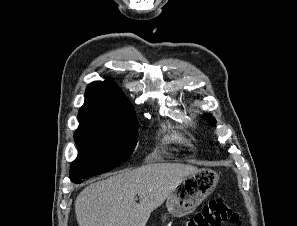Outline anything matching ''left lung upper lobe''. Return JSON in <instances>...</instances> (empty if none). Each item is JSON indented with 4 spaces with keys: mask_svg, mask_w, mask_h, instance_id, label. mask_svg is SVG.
Returning a JSON list of instances; mask_svg holds the SVG:
<instances>
[{
    "mask_svg": "<svg viewBox=\"0 0 297 226\" xmlns=\"http://www.w3.org/2000/svg\"><path fill=\"white\" fill-rule=\"evenodd\" d=\"M205 116H206V119H207V121L210 123V124H215V119L211 116V115H209V114H205Z\"/></svg>",
    "mask_w": 297,
    "mask_h": 226,
    "instance_id": "5c2ea615",
    "label": "left lung upper lobe"
}]
</instances>
